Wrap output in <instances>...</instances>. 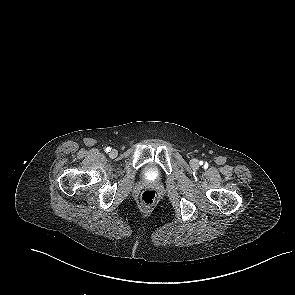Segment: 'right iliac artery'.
<instances>
[{
	"label": "right iliac artery",
	"instance_id": "1",
	"mask_svg": "<svg viewBox=\"0 0 295 295\" xmlns=\"http://www.w3.org/2000/svg\"><path fill=\"white\" fill-rule=\"evenodd\" d=\"M105 151H106V152H110V151H111V148H110V147H107V148L105 149Z\"/></svg>",
	"mask_w": 295,
	"mask_h": 295
}]
</instances>
